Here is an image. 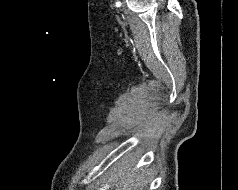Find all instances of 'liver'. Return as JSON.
Wrapping results in <instances>:
<instances>
[{
    "mask_svg": "<svg viewBox=\"0 0 238 190\" xmlns=\"http://www.w3.org/2000/svg\"><path fill=\"white\" fill-rule=\"evenodd\" d=\"M135 163L136 161L132 159L131 155L122 162V166L118 169L116 175L118 182L115 190H145L144 188L148 182L142 169H134L127 173L128 169L134 166Z\"/></svg>",
    "mask_w": 238,
    "mask_h": 190,
    "instance_id": "6515ba94",
    "label": "liver"
}]
</instances>
